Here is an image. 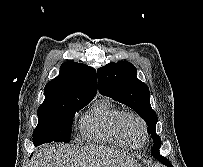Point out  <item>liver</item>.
<instances>
[{
	"mask_svg": "<svg viewBox=\"0 0 203 167\" xmlns=\"http://www.w3.org/2000/svg\"><path fill=\"white\" fill-rule=\"evenodd\" d=\"M31 167H140L135 160L106 148L46 145L33 157Z\"/></svg>",
	"mask_w": 203,
	"mask_h": 167,
	"instance_id": "1",
	"label": "liver"
}]
</instances>
